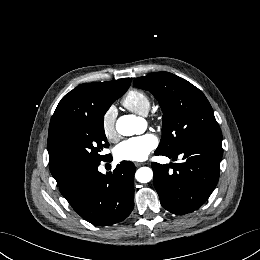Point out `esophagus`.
Instances as JSON below:
<instances>
[{
  "instance_id": "esophagus-1",
  "label": "esophagus",
  "mask_w": 260,
  "mask_h": 260,
  "mask_svg": "<svg viewBox=\"0 0 260 260\" xmlns=\"http://www.w3.org/2000/svg\"><path fill=\"white\" fill-rule=\"evenodd\" d=\"M144 163H142V162H135V166L136 167H140V166H142Z\"/></svg>"
}]
</instances>
